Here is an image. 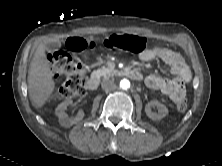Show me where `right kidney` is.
I'll return each mask as SVG.
<instances>
[{
    "label": "right kidney",
    "instance_id": "right-kidney-1",
    "mask_svg": "<svg viewBox=\"0 0 222 166\" xmlns=\"http://www.w3.org/2000/svg\"><path fill=\"white\" fill-rule=\"evenodd\" d=\"M70 104H72V101L71 100H66V101L60 103L58 105V107L56 108V110H55V113L59 118V123L63 127H66V128L71 127L72 125L78 123L84 117V112L82 110H80L75 117L69 118L68 115L65 113V109Z\"/></svg>",
    "mask_w": 222,
    "mask_h": 166
}]
</instances>
